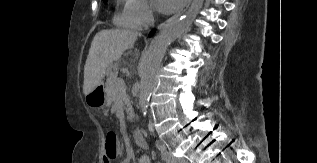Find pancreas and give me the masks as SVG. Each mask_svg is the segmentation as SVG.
<instances>
[{
	"label": "pancreas",
	"mask_w": 317,
	"mask_h": 163,
	"mask_svg": "<svg viewBox=\"0 0 317 163\" xmlns=\"http://www.w3.org/2000/svg\"><path fill=\"white\" fill-rule=\"evenodd\" d=\"M119 64L115 63L113 66L109 68V73L106 81V93L108 96L107 102L112 103L115 100H120L124 102V108L128 114L127 119L132 120L134 117V112L132 109V105L129 99V96L126 93V88L120 89L117 86V81L120 79L117 77V69Z\"/></svg>",
	"instance_id": "1"
}]
</instances>
